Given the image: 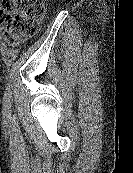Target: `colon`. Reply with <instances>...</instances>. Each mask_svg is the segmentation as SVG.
Returning a JSON list of instances; mask_svg holds the SVG:
<instances>
[{
	"instance_id": "obj_1",
	"label": "colon",
	"mask_w": 133,
	"mask_h": 173,
	"mask_svg": "<svg viewBox=\"0 0 133 173\" xmlns=\"http://www.w3.org/2000/svg\"><path fill=\"white\" fill-rule=\"evenodd\" d=\"M45 13L44 0H0V22L15 41L35 35Z\"/></svg>"
}]
</instances>
